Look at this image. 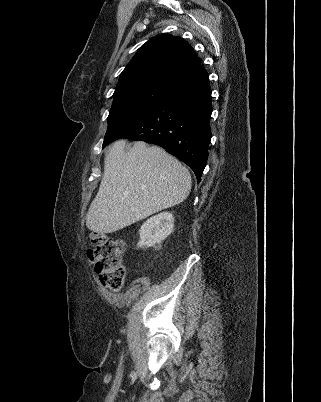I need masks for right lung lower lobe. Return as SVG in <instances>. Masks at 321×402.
<instances>
[{
    "mask_svg": "<svg viewBox=\"0 0 321 402\" xmlns=\"http://www.w3.org/2000/svg\"><path fill=\"white\" fill-rule=\"evenodd\" d=\"M211 113L209 75L202 69L174 84L160 103L107 144L129 138L160 145L190 166L200 182L212 136Z\"/></svg>",
    "mask_w": 321,
    "mask_h": 402,
    "instance_id": "98d812e1",
    "label": "right lung lower lobe"
}]
</instances>
